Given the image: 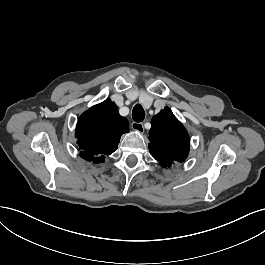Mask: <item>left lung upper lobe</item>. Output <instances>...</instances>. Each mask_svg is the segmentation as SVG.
<instances>
[{"instance_id":"1","label":"left lung upper lobe","mask_w":265,"mask_h":265,"mask_svg":"<svg viewBox=\"0 0 265 265\" xmlns=\"http://www.w3.org/2000/svg\"><path fill=\"white\" fill-rule=\"evenodd\" d=\"M149 151L163 168L186 160L190 138L169 108H164L151 120Z\"/></svg>"}]
</instances>
